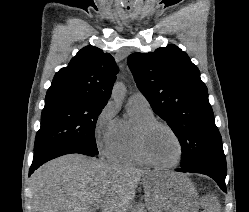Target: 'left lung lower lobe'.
Wrapping results in <instances>:
<instances>
[{
    "label": "left lung lower lobe",
    "mask_w": 249,
    "mask_h": 212,
    "mask_svg": "<svg viewBox=\"0 0 249 212\" xmlns=\"http://www.w3.org/2000/svg\"><path fill=\"white\" fill-rule=\"evenodd\" d=\"M176 170L207 175L214 179L219 187L226 192L225 178L227 167L224 152L207 155L188 167H181Z\"/></svg>",
    "instance_id": "left-lung-lower-lobe-1"
}]
</instances>
